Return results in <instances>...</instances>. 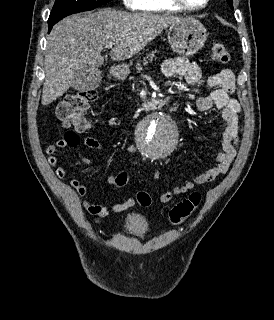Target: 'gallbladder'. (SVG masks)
I'll use <instances>...</instances> for the list:
<instances>
[{
  "mask_svg": "<svg viewBox=\"0 0 274 320\" xmlns=\"http://www.w3.org/2000/svg\"><path fill=\"white\" fill-rule=\"evenodd\" d=\"M102 68H79L74 76V90H96L102 82Z\"/></svg>",
  "mask_w": 274,
  "mask_h": 320,
  "instance_id": "obj_1",
  "label": "gallbladder"
}]
</instances>
